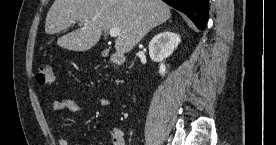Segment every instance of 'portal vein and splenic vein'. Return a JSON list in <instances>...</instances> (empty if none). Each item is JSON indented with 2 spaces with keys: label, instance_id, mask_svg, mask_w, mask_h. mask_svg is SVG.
<instances>
[{
  "label": "portal vein and splenic vein",
  "instance_id": "1",
  "mask_svg": "<svg viewBox=\"0 0 276 145\" xmlns=\"http://www.w3.org/2000/svg\"><path fill=\"white\" fill-rule=\"evenodd\" d=\"M85 21H87V20H85ZM109 35H110L111 37H118V36L120 35V29L117 28V27L111 28V29L109 30Z\"/></svg>",
  "mask_w": 276,
  "mask_h": 145
}]
</instances>
